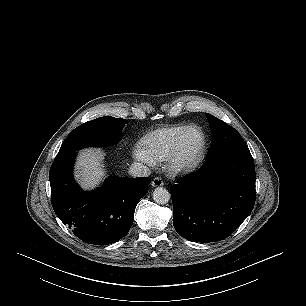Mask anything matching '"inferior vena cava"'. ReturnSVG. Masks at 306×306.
I'll list each match as a JSON object with an SVG mask.
<instances>
[{
    "instance_id": "1",
    "label": "inferior vena cava",
    "mask_w": 306,
    "mask_h": 306,
    "mask_svg": "<svg viewBox=\"0 0 306 306\" xmlns=\"http://www.w3.org/2000/svg\"><path fill=\"white\" fill-rule=\"evenodd\" d=\"M129 173L133 177H148L151 172L150 169L145 165L138 162H134L129 169Z\"/></svg>"
}]
</instances>
